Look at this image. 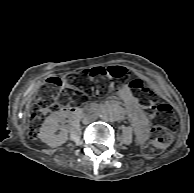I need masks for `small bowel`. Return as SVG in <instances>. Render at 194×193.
<instances>
[{
    "instance_id": "1",
    "label": "small bowel",
    "mask_w": 194,
    "mask_h": 193,
    "mask_svg": "<svg viewBox=\"0 0 194 193\" xmlns=\"http://www.w3.org/2000/svg\"><path fill=\"white\" fill-rule=\"evenodd\" d=\"M119 98L125 104V110L135 130L139 142H143L148 135L149 120L141 109L137 99L133 96L128 86H122L117 90Z\"/></svg>"
}]
</instances>
